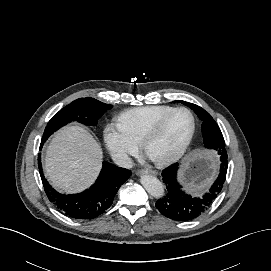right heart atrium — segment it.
<instances>
[{"mask_svg":"<svg viewBox=\"0 0 271 271\" xmlns=\"http://www.w3.org/2000/svg\"><path fill=\"white\" fill-rule=\"evenodd\" d=\"M104 141L111 155L120 163L127 164L138 153V145L119 126L109 124L104 129Z\"/></svg>","mask_w":271,"mask_h":271,"instance_id":"right-heart-atrium-1","label":"right heart atrium"}]
</instances>
